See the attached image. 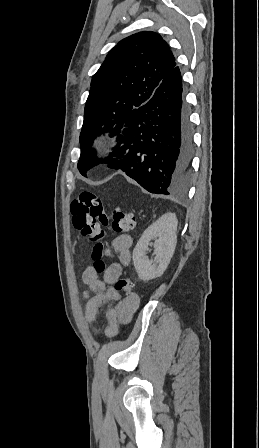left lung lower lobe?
<instances>
[{
  "instance_id": "left-lung-lower-lobe-1",
  "label": "left lung lower lobe",
  "mask_w": 259,
  "mask_h": 448,
  "mask_svg": "<svg viewBox=\"0 0 259 448\" xmlns=\"http://www.w3.org/2000/svg\"><path fill=\"white\" fill-rule=\"evenodd\" d=\"M117 140L105 161L110 168L121 169L151 193L170 195L184 188L193 138L178 66L144 105L131 111Z\"/></svg>"
}]
</instances>
